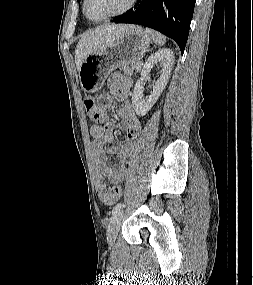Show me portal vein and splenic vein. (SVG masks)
Instances as JSON below:
<instances>
[{
  "label": "portal vein and splenic vein",
  "mask_w": 253,
  "mask_h": 285,
  "mask_svg": "<svg viewBox=\"0 0 253 285\" xmlns=\"http://www.w3.org/2000/svg\"><path fill=\"white\" fill-rule=\"evenodd\" d=\"M141 68V65H137L136 69L139 70Z\"/></svg>",
  "instance_id": "18ae733b"
}]
</instances>
